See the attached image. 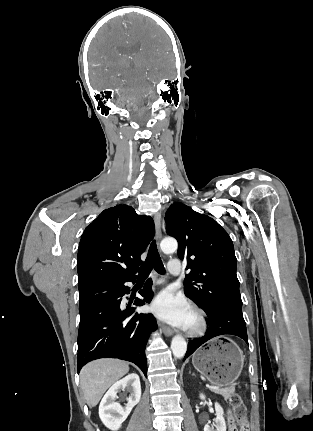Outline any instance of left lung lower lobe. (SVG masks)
<instances>
[{
	"label": "left lung lower lobe",
	"mask_w": 313,
	"mask_h": 431,
	"mask_svg": "<svg viewBox=\"0 0 313 431\" xmlns=\"http://www.w3.org/2000/svg\"><path fill=\"white\" fill-rule=\"evenodd\" d=\"M207 316V322L209 323L207 333L202 338L189 341L184 360L206 341L219 335H236L248 344L246 324L241 308L222 307L215 309Z\"/></svg>",
	"instance_id": "1"
}]
</instances>
